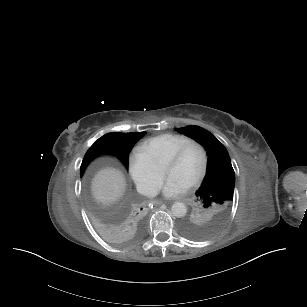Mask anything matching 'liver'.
Segmentation results:
<instances>
[{"label": "liver", "mask_w": 307, "mask_h": 307, "mask_svg": "<svg viewBox=\"0 0 307 307\" xmlns=\"http://www.w3.org/2000/svg\"><path fill=\"white\" fill-rule=\"evenodd\" d=\"M125 189L126 180L123 173L113 167L101 169L92 179V195L103 205L118 201L124 195Z\"/></svg>", "instance_id": "6515ba94"}]
</instances>
